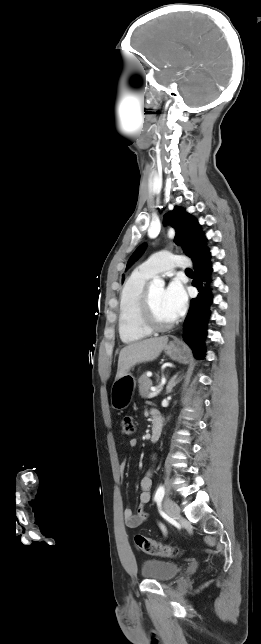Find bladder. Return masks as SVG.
Segmentation results:
<instances>
[{"instance_id": "obj_1", "label": "bladder", "mask_w": 261, "mask_h": 644, "mask_svg": "<svg viewBox=\"0 0 261 644\" xmlns=\"http://www.w3.org/2000/svg\"><path fill=\"white\" fill-rule=\"evenodd\" d=\"M180 572V566L173 562L149 559L141 566V574L144 578L165 582L173 579Z\"/></svg>"}]
</instances>
